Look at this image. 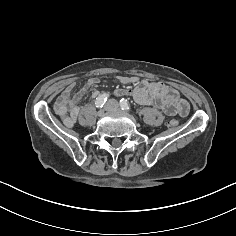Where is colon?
Here are the masks:
<instances>
[{
	"instance_id": "1",
	"label": "colon",
	"mask_w": 236,
	"mask_h": 236,
	"mask_svg": "<svg viewBox=\"0 0 236 236\" xmlns=\"http://www.w3.org/2000/svg\"><path fill=\"white\" fill-rule=\"evenodd\" d=\"M177 124V121H175V120H172L171 122H170V125L171 126H175Z\"/></svg>"
}]
</instances>
